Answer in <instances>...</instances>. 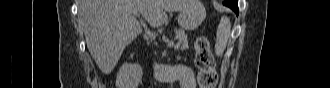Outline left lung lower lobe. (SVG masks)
<instances>
[{
  "mask_svg": "<svg viewBox=\"0 0 330 88\" xmlns=\"http://www.w3.org/2000/svg\"><path fill=\"white\" fill-rule=\"evenodd\" d=\"M224 5L230 7L236 13V15H238L239 13L238 0H226L224 2Z\"/></svg>",
  "mask_w": 330,
  "mask_h": 88,
  "instance_id": "obj_1",
  "label": "left lung lower lobe"
}]
</instances>
